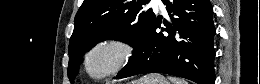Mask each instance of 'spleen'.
Returning <instances> with one entry per match:
<instances>
[{
  "label": "spleen",
  "instance_id": "obj_1",
  "mask_svg": "<svg viewBox=\"0 0 260 84\" xmlns=\"http://www.w3.org/2000/svg\"><path fill=\"white\" fill-rule=\"evenodd\" d=\"M170 81L172 82V84H188L185 80L183 79H178L175 77H169Z\"/></svg>",
  "mask_w": 260,
  "mask_h": 84
}]
</instances>
